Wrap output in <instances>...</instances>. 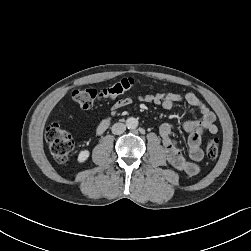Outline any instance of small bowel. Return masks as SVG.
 Returning a JSON list of instances; mask_svg holds the SVG:
<instances>
[{
	"mask_svg": "<svg viewBox=\"0 0 251 251\" xmlns=\"http://www.w3.org/2000/svg\"><path fill=\"white\" fill-rule=\"evenodd\" d=\"M139 101L151 103L169 110L175 103H185L190 107L196 108L201 115L200 119H191L183 122V129L189 133L188 147L189 156L186 158L176 140L173 137L174 127L170 123H164L160 126L159 133L165 149L168 162L177 170L190 176H195L200 172L199 163L203 159L201 149L202 135L204 132L216 134L218 129L215 124V114L204 104L194 93L187 92H158L138 97ZM133 102L131 97L118 100L112 107L116 111L122 107L128 106Z\"/></svg>",
	"mask_w": 251,
	"mask_h": 251,
	"instance_id": "obj_1",
	"label": "small bowel"
}]
</instances>
